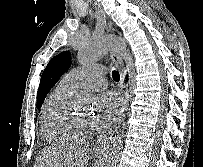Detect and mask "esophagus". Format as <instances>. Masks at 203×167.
<instances>
[{
	"mask_svg": "<svg viewBox=\"0 0 203 167\" xmlns=\"http://www.w3.org/2000/svg\"><path fill=\"white\" fill-rule=\"evenodd\" d=\"M107 31L108 32L113 31V27H112V25L110 23H108V30ZM110 56H111V59L114 62V64L119 69L122 78L124 79V77H125V67H124V62H123V58H122V55H121L120 51L115 50V49L111 50ZM121 92L123 94V108H122L121 114H120L118 120L116 121V123L113 125V127L108 131V133L101 136L98 139L95 146L93 147V151L95 153H100V152L103 151V149L105 148V145H106L107 141L109 140V138L119 129L122 121L124 120V117L126 115L128 107H129V93H128V90L126 89V87L123 84H121Z\"/></svg>",
	"mask_w": 203,
	"mask_h": 167,
	"instance_id": "obj_1",
	"label": "esophagus"
}]
</instances>
